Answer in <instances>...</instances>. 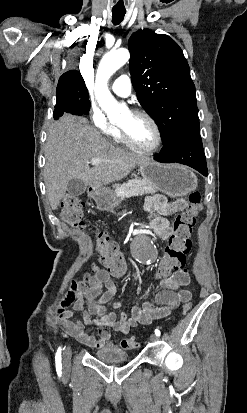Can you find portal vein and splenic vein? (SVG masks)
I'll return each instance as SVG.
<instances>
[{"label": "portal vein and splenic vein", "instance_id": "obj_1", "mask_svg": "<svg viewBox=\"0 0 247 413\" xmlns=\"http://www.w3.org/2000/svg\"><path fill=\"white\" fill-rule=\"evenodd\" d=\"M91 164H100L101 158H91Z\"/></svg>", "mask_w": 247, "mask_h": 413}]
</instances>
